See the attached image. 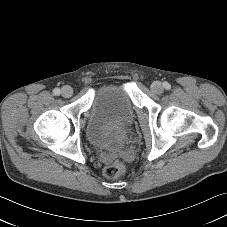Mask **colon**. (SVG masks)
<instances>
[{"instance_id":"1","label":"colon","mask_w":227,"mask_h":227,"mask_svg":"<svg viewBox=\"0 0 227 227\" xmlns=\"http://www.w3.org/2000/svg\"><path fill=\"white\" fill-rule=\"evenodd\" d=\"M124 171V164L121 161L116 160L104 168L103 174L108 179H114L122 175Z\"/></svg>"}]
</instances>
